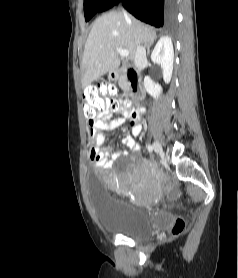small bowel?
<instances>
[{
    "label": "small bowel",
    "mask_w": 238,
    "mask_h": 278,
    "mask_svg": "<svg viewBox=\"0 0 238 278\" xmlns=\"http://www.w3.org/2000/svg\"><path fill=\"white\" fill-rule=\"evenodd\" d=\"M119 106L121 109L120 116L109 121L112 111H104L98 115V119L90 126L91 134L94 135V138L89 139V144L93 142V145H90L89 156L95 165L101 169L111 168L113 162L121 155H128L140 149L139 144L135 141V137L142 130L140 115L132 109L126 110L121 101ZM125 121L129 122L131 129V135H126L122 138V144L127 149L124 151H116L113 148L103 149V144L109 138L111 132L123 125Z\"/></svg>",
    "instance_id": "1"
}]
</instances>
